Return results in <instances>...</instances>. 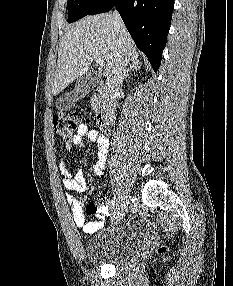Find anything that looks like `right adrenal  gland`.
Here are the masks:
<instances>
[{
    "instance_id": "2a0ac1e0",
    "label": "right adrenal gland",
    "mask_w": 233,
    "mask_h": 286,
    "mask_svg": "<svg viewBox=\"0 0 233 286\" xmlns=\"http://www.w3.org/2000/svg\"><path fill=\"white\" fill-rule=\"evenodd\" d=\"M141 62L139 61V59H135V60H132L129 68L127 69L126 73H125V78L128 77L129 75V72L131 71H138L141 69Z\"/></svg>"
}]
</instances>
